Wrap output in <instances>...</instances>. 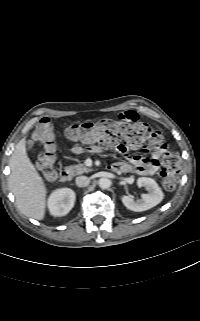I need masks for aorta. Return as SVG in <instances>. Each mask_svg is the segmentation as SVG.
<instances>
[{
	"label": "aorta",
	"mask_w": 200,
	"mask_h": 321,
	"mask_svg": "<svg viewBox=\"0 0 200 321\" xmlns=\"http://www.w3.org/2000/svg\"><path fill=\"white\" fill-rule=\"evenodd\" d=\"M98 184L101 189H107L110 187L111 181L108 178H101L99 179Z\"/></svg>",
	"instance_id": "1"
}]
</instances>
